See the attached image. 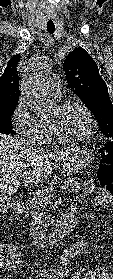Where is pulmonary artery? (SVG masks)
Returning <instances> with one entry per match:
<instances>
[{
    "instance_id": "pulmonary-artery-1",
    "label": "pulmonary artery",
    "mask_w": 113,
    "mask_h": 279,
    "mask_svg": "<svg viewBox=\"0 0 113 279\" xmlns=\"http://www.w3.org/2000/svg\"><path fill=\"white\" fill-rule=\"evenodd\" d=\"M45 89L50 96H59L61 94V86L56 75H50L46 79Z\"/></svg>"
}]
</instances>
